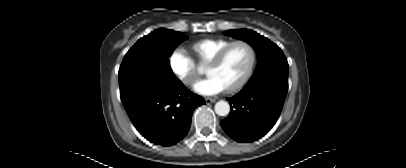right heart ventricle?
<instances>
[{
	"label": "right heart ventricle",
	"instance_id": "e07e8e85",
	"mask_svg": "<svg viewBox=\"0 0 406 168\" xmlns=\"http://www.w3.org/2000/svg\"><path fill=\"white\" fill-rule=\"evenodd\" d=\"M232 42L227 38H204L190 44L189 48L194 57L205 65L223 47Z\"/></svg>",
	"mask_w": 406,
	"mask_h": 168
}]
</instances>
